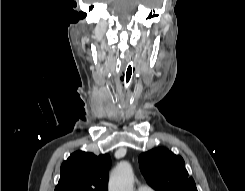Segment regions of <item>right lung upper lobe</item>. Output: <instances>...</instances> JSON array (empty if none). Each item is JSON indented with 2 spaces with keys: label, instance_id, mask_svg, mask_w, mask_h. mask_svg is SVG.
<instances>
[{
  "label": "right lung upper lobe",
  "instance_id": "right-lung-upper-lobe-1",
  "mask_svg": "<svg viewBox=\"0 0 245 191\" xmlns=\"http://www.w3.org/2000/svg\"><path fill=\"white\" fill-rule=\"evenodd\" d=\"M111 159L76 151L63 162L55 191H107Z\"/></svg>",
  "mask_w": 245,
  "mask_h": 191
}]
</instances>
